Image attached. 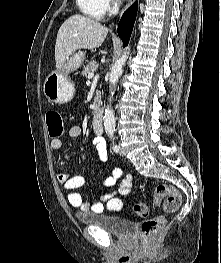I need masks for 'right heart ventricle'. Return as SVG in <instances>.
<instances>
[{"label": "right heart ventricle", "instance_id": "1", "mask_svg": "<svg viewBox=\"0 0 221 263\" xmlns=\"http://www.w3.org/2000/svg\"><path fill=\"white\" fill-rule=\"evenodd\" d=\"M79 10L87 17L101 20L105 9L102 0H76Z\"/></svg>", "mask_w": 221, "mask_h": 263}]
</instances>
